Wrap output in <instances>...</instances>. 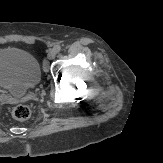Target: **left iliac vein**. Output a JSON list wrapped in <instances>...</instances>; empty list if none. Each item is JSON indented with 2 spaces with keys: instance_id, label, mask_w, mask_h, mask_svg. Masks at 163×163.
I'll list each match as a JSON object with an SVG mask.
<instances>
[{
  "instance_id": "left-iliac-vein-1",
  "label": "left iliac vein",
  "mask_w": 163,
  "mask_h": 163,
  "mask_svg": "<svg viewBox=\"0 0 163 163\" xmlns=\"http://www.w3.org/2000/svg\"><path fill=\"white\" fill-rule=\"evenodd\" d=\"M56 56V51L53 49L48 53V59L52 60L54 59ZM45 67H47V62L44 63Z\"/></svg>"
}]
</instances>
